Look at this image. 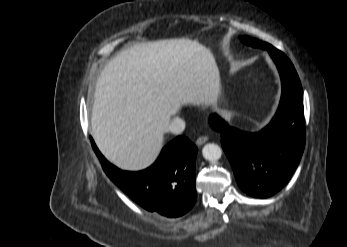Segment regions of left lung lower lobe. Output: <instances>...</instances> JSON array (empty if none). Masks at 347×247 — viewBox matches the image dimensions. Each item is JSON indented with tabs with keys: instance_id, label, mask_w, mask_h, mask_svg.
I'll return each mask as SVG.
<instances>
[{
	"instance_id": "1",
	"label": "left lung lower lobe",
	"mask_w": 347,
	"mask_h": 247,
	"mask_svg": "<svg viewBox=\"0 0 347 247\" xmlns=\"http://www.w3.org/2000/svg\"><path fill=\"white\" fill-rule=\"evenodd\" d=\"M279 70L282 95L271 122L256 133L230 127L212 114L210 126L221 144L241 189L266 198L282 189L297 168L305 145L303 90L291 61L279 50L268 51Z\"/></svg>"
}]
</instances>
